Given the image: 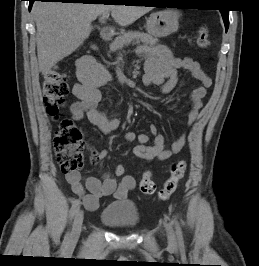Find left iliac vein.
<instances>
[{
  "mask_svg": "<svg viewBox=\"0 0 259 266\" xmlns=\"http://www.w3.org/2000/svg\"><path fill=\"white\" fill-rule=\"evenodd\" d=\"M166 230H167L169 244L170 245H175L176 240H175L174 232H173V229H172L171 225H167L166 226Z\"/></svg>",
  "mask_w": 259,
  "mask_h": 266,
  "instance_id": "1",
  "label": "left iliac vein"
}]
</instances>
